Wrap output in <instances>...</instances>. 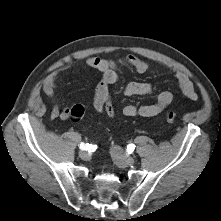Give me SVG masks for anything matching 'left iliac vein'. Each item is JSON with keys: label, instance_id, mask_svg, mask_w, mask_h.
<instances>
[{"label": "left iliac vein", "instance_id": "obj_1", "mask_svg": "<svg viewBox=\"0 0 221 221\" xmlns=\"http://www.w3.org/2000/svg\"><path fill=\"white\" fill-rule=\"evenodd\" d=\"M111 156L114 160V162L119 166V167H126L129 165H133L135 162L134 157L132 156H126L123 153V150L119 146H114L111 148Z\"/></svg>", "mask_w": 221, "mask_h": 221}]
</instances>
